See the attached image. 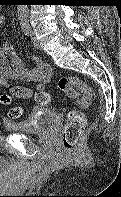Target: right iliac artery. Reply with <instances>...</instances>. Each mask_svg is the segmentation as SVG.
I'll return each instance as SVG.
<instances>
[{
  "label": "right iliac artery",
  "mask_w": 121,
  "mask_h": 197,
  "mask_svg": "<svg viewBox=\"0 0 121 197\" xmlns=\"http://www.w3.org/2000/svg\"><path fill=\"white\" fill-rule=\"evenodd\" d=\"M21 28L24 31V33L28 36L29 38V27H28V22L27 21H21Z\"/></svg>",
  "instance_id": "right-iliac-artery-1"
}]
</instances>
